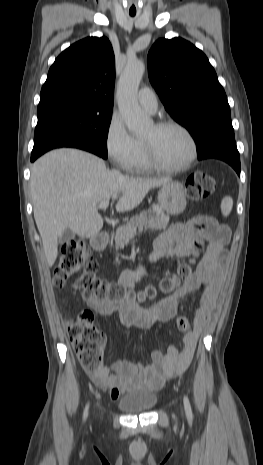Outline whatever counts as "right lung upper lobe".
Returning a JSON list of instances; mask_svg holds the SVG:
<instances>
[{"label": "right lung upper lobe", "mask_w": 263, "mask_h": 465, "mask_svg": "<svg viewBox=\"0 0 263 465\" xmlns=\"http://www.w3.org/2000/svg\"><path fill=\"white\" fill-rule=\"evenodd\" d=\"M114 53L106 37H88L63 51L51 66L40 102L74 98L113 105Z\"/></svg>", "instance_id": "right-lung-upper-lobe-1"}]
</instances>
